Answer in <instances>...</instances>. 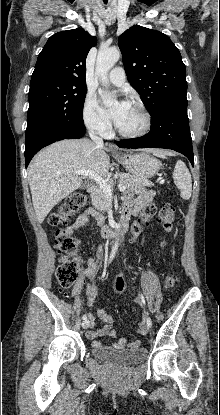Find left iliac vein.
<instances>
[{
  "label": "left iliac vein",
  "mask_w": 220,
  "mask_h": 415,
  "mask_svg": "<svg viewBox=\"0 0 220 415\" xmlns=\"http://www.w3.org/2000/svg\"><path fill=\"white\" fill-rule=\"evenodd\" d=\"M147 326H148V328H151V326H152V320L149 316L147 317Z\"/></svg>",
  "instance_id": "obj_1"
}]
</instances>
